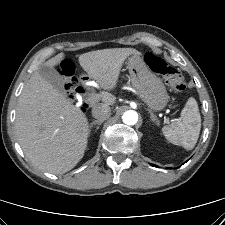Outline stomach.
Returning <instances> with one entry per match:
<instances>
[{"mask_svg": "<svg viewBox=\"0 0 225 225\" xmlns=\"http://www.w3.org/2000/svg\"><path fill=\"white\" fill-rule=\"evenodd\" d=\"M131 85L139 98L153 111L164 109L169 95L162 80L147 66L141 55L133 54L128 59Z\"/></svg>", "mask_w": 225, "mask_h": 225, "instance_id": "0dacf381", "label": "stomach"}]
</instances>
